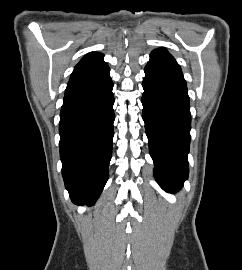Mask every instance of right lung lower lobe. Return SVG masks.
I'll return each mask as SVG.
<instances>
[{"label":"right lung lower lobe","mask_w":242,"mask_h":270,"mask_svg":"<svg viewBox=\"0 0 242 270\" xmlns=\"http://www.w3.org/2000/svg\"><path fill=\"white\" fill-rule=\"evenodd\" d=\"M110 68L101 61L70 77L60 113L65 187L80 203L97 200L108 179L115 119Z\"/></svg>","instance_id":"obj_1"}]
</instances>
